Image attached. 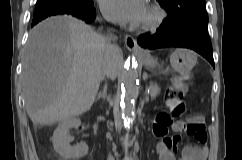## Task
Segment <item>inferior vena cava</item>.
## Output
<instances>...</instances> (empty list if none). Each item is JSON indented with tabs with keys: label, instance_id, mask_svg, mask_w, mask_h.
Segmentation results:
<instances>
[{
	"label": "inferior vena cava",
	"instance_id": "obj_1",
	"mask_svg": "<svg viewBox=\"0 0 242 160\" xmlns=\"http://www.w3.org/2000/svg\"><path fill=\"white\" fill-rule=\"evenodd\" d=\"M112 34H108L104 38V45L107 52L106 61L103 63V68H99V73H102L101 79L103 81H114L116 78V73H120L119 63H121L122 59V51L119 50V47L111 43ZM108 160H114V158L110 155Z\"/></svg>",
	"mask_w": 242,
	"mask_h": 160
}]
</instances>
